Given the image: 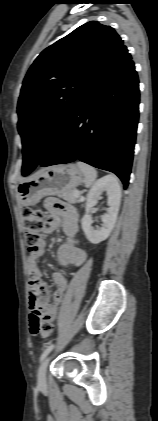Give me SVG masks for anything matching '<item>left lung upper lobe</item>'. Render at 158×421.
I'll return each mask as SVG.
<instances>
[{
    "label": "left lung upper lobe",
    "mask_w": 158,
    "mask_h": 421,
    "mask_svg": "<svg viewBox=\"0 0 158 421\" xmlns=\"http://www.w3.org/2000/svg\"><path fill=\"white\" fill-rule=\"evenodd\" d=\"M116 31L90 21L46 48L27 72L18 101L22 174L41 163L92 82L122 48Z\"/></svg>",
    "instance_id": "5c2ea615"
}]
</instances>
